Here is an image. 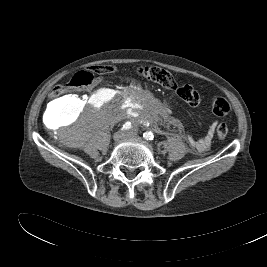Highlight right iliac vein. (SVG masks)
Segmentation results:
<instances>
[{
	"label": "right iliac vein",
	"instance_id": "63e3f726",
	"mask_svg": "<svg viewBox=\"0 0 267 267\" xmlns=\"http://www.w3.org/2000/svg\"><path fill=\"white\" fill-rule=\"evenodd\" d=\"M124 137H125V133L124 132H121V131H118V132H116L114 134L113 139H114V141H119V140H121Z\"/></svg>",
	"mask_w": 267,
	"mask_h": 267
}]
</instances>
